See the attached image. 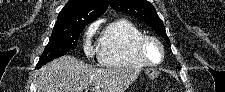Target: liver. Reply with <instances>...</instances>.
I'll return each mask as SVG.
<instances>
[{
  "mask_svg": "<svg viewBox=\"0 0 225 92\" xmlns=\"http://www.w3.org/2000/svg\"><path fill=\"white\" fill-rule=\"evenodd\" d=\"M139 69H96L65 55L37 72V92H124L139 76Z\"/></svg>",
  "mask_w": 225,
  "mask_h": 92,
  "instance_id": "6515ba94",
  "label": "liver"
}]
</instances>
